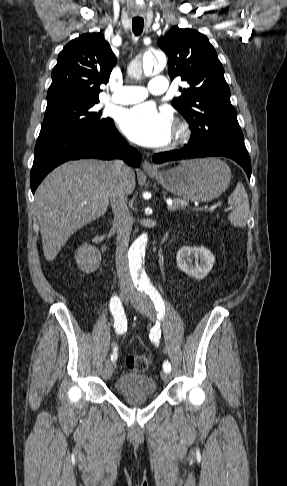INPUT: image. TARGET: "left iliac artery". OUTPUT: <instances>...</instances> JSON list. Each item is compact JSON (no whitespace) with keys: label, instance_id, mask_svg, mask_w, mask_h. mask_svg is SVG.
I'll list each match as a JSON object with an SVG mask.
<instances>
[{"label":"left iliac artery","instance_id":"44dca946","mask_svg":"<svg viewBox=\"0 0 287 486\" xmlns=\"http://www.w3.org/2000/svg\"><path fill=\"white\" fill-rule=\"evenodd\" d=\"M144 291H145V293L147 295H149V297L153 301V303L155 305V308H156V311L158 312L157 318L159 320H161L164 317V315H165V304H164V301H163L161 295L156 290V288L154 286H152V285L145 286L144 287ZM160 335H161L160 325L157 322V324L155 325V327L152 328V330L150 332V339H151V341H153V343H155L156 345H158L159 339H160ZM163 370L165 372H168V373L171 371V365H170V363L168 361H165L163 363Z\"/></svg>","mask_w":287,"mask_h":486}]
</instances>
